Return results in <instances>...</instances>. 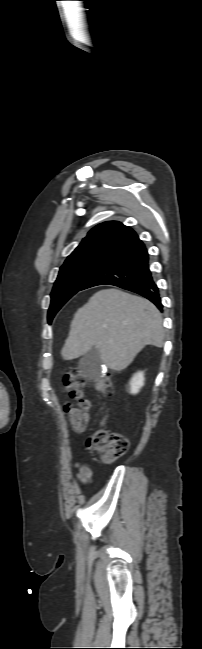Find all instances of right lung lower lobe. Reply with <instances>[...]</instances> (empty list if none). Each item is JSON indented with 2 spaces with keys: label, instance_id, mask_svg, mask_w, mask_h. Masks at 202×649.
Here are the masks:
<instances>
[{
  "label": "right lung lower lobe",
  "instance_id": "right-lung-lower-lobe-1",
  "mask_svg": "<svg viewBox=\"0 0 202 649\" xmlns=\"http://www.w3.org/2000/svg\"><path fill=\"white\" fill-rule=\"evenodd\" d=\"M148 260L147 250L141 242L113 256L87 280L81 290L103 284L115 285L146 297L162 310L159 290L152 279Z\"/></svg>",
  "mask_w": 202,
  "mask_h": 649
}]
</instances>
